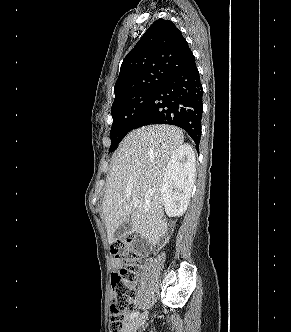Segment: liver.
<instances>
[{
	"label": "liver",
	"mask_w": 291,
	"mask_h": 332,
	"mask_svg": "<svg viewBox=\"0 0 291 332\" xmlns=\"http://www.w3.org/2000/svg\"><path fill=\"white\" fill-rule=\"evenodd\" d=\"M183 142L182 130L169 125L133 130L121 142L102 203L110 244L115 228L127 219L133 230L153 246L160 245V239L168 235L161 188L167 165Z\"/></svg>",
	"instance_id": "obj_1"
}]
</instances>
